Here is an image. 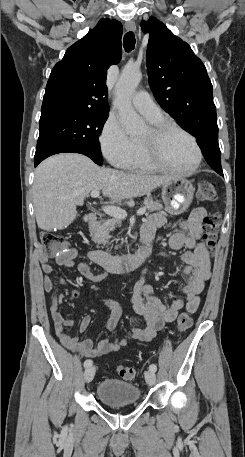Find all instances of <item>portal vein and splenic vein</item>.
Returning <instances> with one entry per match:
<instances>
[{
	"instance_id": "obj_1",
	"label": "portal vein and splenic vein",
	"mask_w": 245,
	"mask_h": 457,
	"mask_svg": "<svg viewBox=\"0 0 245 457\" xmlns=\"http://www.w3.org/2000/svg\"><path fill=\"white\" fill-rule=\"evenodd\" d=\"M91 196H99L100 192L99 190H92L90 192ZM102 210L106 212V214H111V216H115V218H126L127 212L126 210H123V208H120V206H102ZM146 212V208H139L137 210V214H144Z\"/></svg>"
}]
</instances>
